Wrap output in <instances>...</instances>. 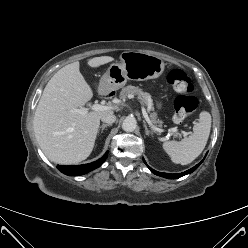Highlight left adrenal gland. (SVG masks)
Returning <instances> with one entry per match:
<instances>
[{
  "label": "left adrenal gland",
  "mask_w": 248,
  "mask_h": 248,
  "mask_svg": "<svg viewBox=\"0 0 248 248\" xmlns=\"http://www.w3.org/2000/svg\"><path fill=\"white\" fill-rule=\"evenodd\" d=\"M143 125H144V128H145V134H146L147 136H149L150 131L148 130V127H147L146 122H145L144 120H143Z\"/></svg>",
  "instance_id": "obj_1"
}]
</instances>
